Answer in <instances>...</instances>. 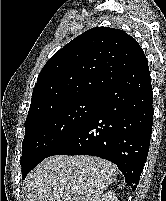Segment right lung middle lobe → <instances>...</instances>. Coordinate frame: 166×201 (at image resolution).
Segmentation results:
<instances>
[{
	"label": "right lung middle lobe",
	"mask_w": 166,
	"mask_h": 201,
	"mask_svg": "<svg viewBox=\"0 0 166 201\" xmlns=\"http://www.w3.org/2000/svg\"><path fill=\"white\" fill-rule=\"evenodd\" d=\"M100 95L80 96L26 119L22 143V178L94 112Z\"/></svg>",
	"instance_id": "1"
}]
</instances>
